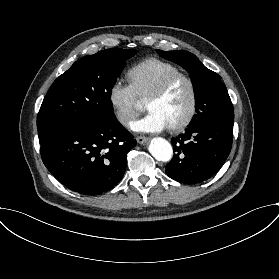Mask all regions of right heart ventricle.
Instances as JSON below:
<instances>
[{"label":"right heart ventricle","instance_id":"e07e8e85","mask_svg":"<svg viewBox=\"0 0 279 279\" xmlns=\"http://www.w3.org/2000/svg\"><path fill=\"white\" fill-rule=\"evenodd\" d=\"M183 72L176 64L160 58H147L128 71L130 85L139 98H148L169 76Z\"/></svg>","mask_w":279,"mask_h":279}]
</instances>
